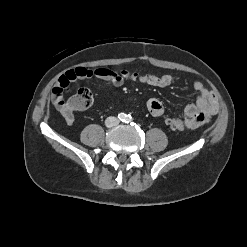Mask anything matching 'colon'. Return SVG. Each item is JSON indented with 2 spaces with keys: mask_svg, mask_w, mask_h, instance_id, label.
Wrapping results in <instances>:
<instances>
[{
  "mask_svg": "<svg viewBox=\"0 0 247 247\" xmlns=\"http://www.w3.org/2000/svg\"><path fill=\"white\" fill-rule=\"evenodd\" d=\"M69 101L74 110H83L92 105L93 96L89 89L81 88ZM166 124L170 129L175 131H182L185 128V124L178 119H168Z\"/></svg>",
  "mask_w": 247,
  "mask_h": 247,
  "instance_id": "obj_1",
  "label": "colon"
}]
</instances>
